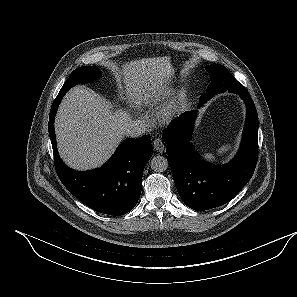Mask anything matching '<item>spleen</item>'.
<instances>
[{
    "label": "spleen",
    "instance_id": "3e777b00",
    "mask_svg": "<svg viewBox=\"0 0 297 297\" xmlns=\"http://www.w3.org/2000/svg\"><path fill=\"white\" fill-rule=\"evenodd\" d=\"M229 147L230 146H228V145L222 146L220 149H218V153L222 154L223 152H226L229 149ZM203 156L206 160H209V161L215 160V157L211 153H205Z\"/></svg>",
    "mask_w": 297,
    "mask_h": 297
}]
</instances>
